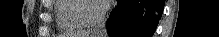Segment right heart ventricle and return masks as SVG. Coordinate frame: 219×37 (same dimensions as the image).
Wrapping results in <instances>:
<instances>
[{"label":"right heart ventricle","mask_w":219,"mask_h":37,"mask_svg":"<svg viewBox=\"0 0 219 37\" xmlns=\"http://www.w3.org/2000/svg\"><path fill=\"white\" fill-rule=\"evenodd\" d=\"M81 0H57L55 14L57 25L62 31H73L86 27L79 14Z\"/></svg>","instance_id":"1"}]
</instances>
